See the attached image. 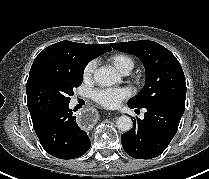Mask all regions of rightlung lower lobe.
Wrapping results in <instances>:
<instances>
[{
  "instance_id": "right-lung-lower-lobe-1",
  "label": "right lung lower lobe",
  "mask_w": 209,
  "mask_h": 179,
  "mask_svg": "<svg viewBox=\"0 0 209 179\" xmlns=\"http://www.w3.org/2000/svg\"><path fill=\"white\" fill-rule=\"evenodd\" d=\"M33 126L44 150L59 159L80 157L91 146L88 135L69 109V103L47 113L33 122Z\"/></svg>"
}]
</instances>
